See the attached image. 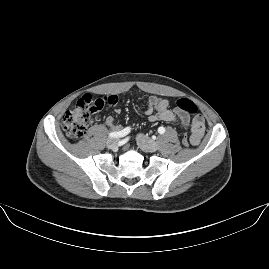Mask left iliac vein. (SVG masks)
Segmentation results:
<instances>
[{
  "label": "left iliac vein",
  "mask_w": 269,
  "mask_h": 269,
  "mask_svg": "<svg viewBox=\"0 0 269 269\" xmlns=\"http://www.w3.org/2000/svg\"><path fill=\"white\" fill-rule=\"evenodd\" d=\"M136 140L140 148L145 151L156 152L159 149L158 143L144 134H138Z\"/></svg>",
  "instance_id": "left-iliac-vein-1"
}]
</instances>
